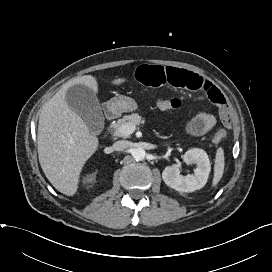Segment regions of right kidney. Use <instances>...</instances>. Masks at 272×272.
Instances as JSON below:
<instances>
[{
  "label": "right kidney",
  "mask_w": 272,
  "mask_h": 272,
  "mask_svg": "<svg viewBox=\"0 0 272 272\" xmlns=\"http://www.w3.org/2000/svg\"><path fill=\"white\" fill-rule=\"evenodd\" d=\"M87 182H92L93 181V176H89L87 179H86Z\"/></svg>",
  "instance_id": "right-kidney-1"
}]
</instances>
